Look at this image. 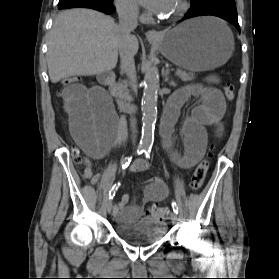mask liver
<instances>
[{
    "instance_id": "obj_1",
    "label": "liver",
    "mask_w": 279,
    "mask_h": 279,
    "mask_svg": "<svg viewBox=\"0 0 279 279\" xmlns=\"http://www.w3.org/2000/svg\"><path fill=\"white\" fill-rule=\"evenodd\" d=\"M120 36L114 19L101 12L80 8L61 12L49 33L47 65L51 82L111 71L118 61ZM128 45L131 54L136 55L139 42L134 35L128 38Z\"/></svg>"
}]
</instances>
